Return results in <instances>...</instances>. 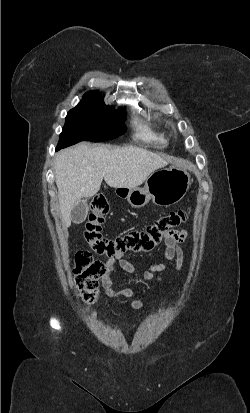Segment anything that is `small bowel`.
<instances>
[{"label":"small bowel","instance_id":"small-bowel-1","mask_svg":"<svg viewBox=\"0 0 250 413\" xmlns=\"http://www.w3.org/2000/svg\"><path fill=\"white\" fill-rule=\"evenodd\" d=\"M165 251L164 258L166 262L175 260L176 269L179 270L182 267L184 253L181 247L182 243L187 237L185 230H166L165 231ZM105 273L101 277V283L104 288L105 294L110 298L115 299H128L131 306L134 309H141L144 306V302L140 299H134V292L131 288L116 289L113 286V280L111 273L116 266H119L123 271L129 274H136L137 270L132 263L123 257V254H117L109 257L104 263ZM166 269V263L152 264L148 269L142 271L140 276L144 280H157L161 281L158 276L159 272Z\"/></svg>","mask_w":250,"mask_h":413}]
</instances>
